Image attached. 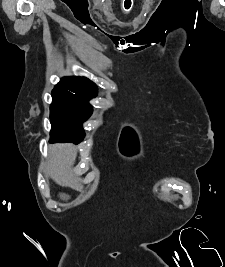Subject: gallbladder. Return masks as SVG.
Instances as JSON below:
<instances>
[{"label":"gallbladder","instance_id":"bac80fb5","mask_svg":"<svg viewBox=\"0 0 225 267\" xmlns=\"http://www.w3.org/2000/svg\"><path fill=\"white\" fill-rule=\"evenodd\" d=\"M62 198H68V196L64 195V194H61L60 195Z\"/></svg>","mask_w":225,"mask_h":267}]
</instances>
